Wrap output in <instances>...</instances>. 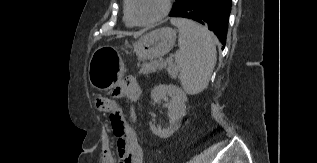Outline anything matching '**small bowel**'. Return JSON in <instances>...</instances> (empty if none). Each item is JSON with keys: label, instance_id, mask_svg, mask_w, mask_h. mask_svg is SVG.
I'll list each match as a JSON object with an SVG mask.
<instances>
[{"label": "small bowel", "instance_id": "obj_1", "mask_svg": "<svg viewBox=\"0 0 317 163\" xmlns=\"http://www.w3.org/2000/svg\"><path fill=\"white\" fill-rule=\"evenodd\" d=\"M113 94L133 103L140 96V87L134 78L127 77L115 86ZM131 119L133 120V112ZM113 133L116 138V149L106 146L102 163H144L143 153L131 124L124 125L120 133L114 130Z\"/></svg>", "mask_w": 317, "mask_h": 163}]
</instances>
